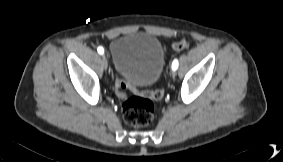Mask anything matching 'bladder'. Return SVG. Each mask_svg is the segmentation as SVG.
<instances>
[{
	"label": "bladder",
	"mask_w": 283,
	"mask_h": 162,
	"mask_svg": "<svg viewBox=\"0 0 283 162\" xmlns=\"http://www.w3.org/2000/svg\"><path fill=\"white\" fill-rule=\"evenodd\" d=\"M110 51L116 73L135 88L154 85L161 77L165 56L157 37L129 33L112 41Z\"/></svg>",
	"instance_id": "31cf9c89"
}]
</instances>
